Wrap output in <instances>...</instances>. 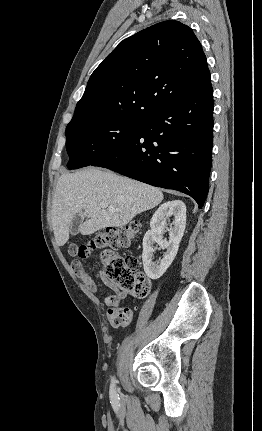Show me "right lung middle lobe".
<instances>
[{
    "mask_svg": "<svg viewBox=\"0 0 262 431\" xmlns=\"http://www.w3.org/2000/svg\"><path fill=\"white\" fill-rule=\"evenodd\" d=\"M143 119L113 118L84 121L67 126V167L78 169L106 157L130 139Z\"/></svg>",
    "mask_w": 262,
    "mask_h": 431,
    "instance_id": "right-lung-middle-lobe-1",
    "label": "right lung middle lobe"
}]
</instances>
